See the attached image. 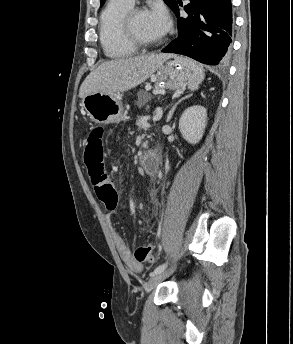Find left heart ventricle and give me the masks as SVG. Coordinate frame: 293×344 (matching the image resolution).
Instances as JSON below:
<instances>
[{"label":"left heart ventricle","mask_w":293,"mask_h":344,"mask_svg":"<svg viewBox=\"0 0 293 344\" xmlns=\"http://www.w3.org/2000/svg\"><path fill=\"white\" fill-rule=\"evenodd\" d=\"M134 33L146 41H158L161 39L159 35L148 21L146 12L137 14L132 21Z\"/></svg>","instance_id":"1"}]
</instances>
